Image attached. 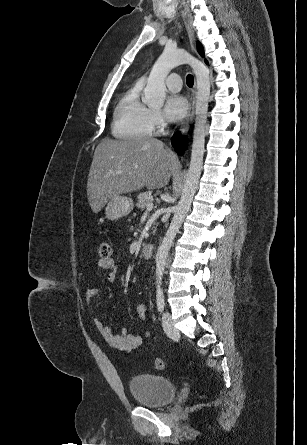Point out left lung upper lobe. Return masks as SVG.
<instances>
[{
    "label": "left lung upper lobe",
    "instance_id": "obj_1",
    "mask_svg": "<svg viewBox=\"0 0 307 445\" xmlns=\"http://www.w3.org/2000/svg\"><path fill=\"white\" fill-rule=\"evenodd\" d=\"M197 48H198L199 53L203 56V48H202L201 44L198 43Z\"/></svg>",
    "mask_w": 307,
    "mask_h": 445
}]
</instances>
